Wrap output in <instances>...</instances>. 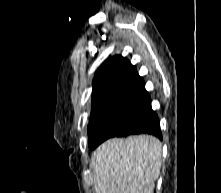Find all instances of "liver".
<instances>
[{
  "label": "liver",
  "instance_id": "1",
  "mask_svg": "<svg viewBox=\"0 0 221 193\" xmlns=\"http://www.w3.org/2000/svg\"><path fill=\"white\" fill-rule=\"evenodd\" d=\"M161 149V142L149 135L107 140L91 157L95 192L153 193Z\"/></svg>",
  "mask_w": 221,
  "mask_h": 193
}]
</instances>
